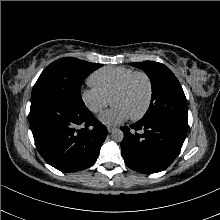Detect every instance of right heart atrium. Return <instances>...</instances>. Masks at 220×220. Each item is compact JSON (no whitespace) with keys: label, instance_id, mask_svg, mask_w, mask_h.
<instances>
[{"label":"right heart atrium","instance_id":"right-heart-atrium-1","mask_svg":"<svg viewBox=\"0 0 220 220\" xmlns=\"http://www.w3.org/2000/svg\"><path fill=\"white\" fill-rule=\"evenodd\" d=\"M80 96L84 106L93 114L101 112L109 103V98L94 86L83 89Z\"/></svg>","mask_w":220,"mask_h":220}]
</instances>
